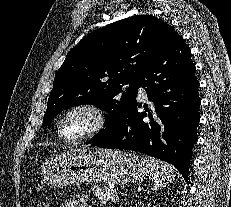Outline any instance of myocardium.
<instances>
[{
  "instance_id": "1",
  "label": "myocardium",
  "mask_w": 231,
  "mask_h": 207,
  "mask_svg": "<svg viewBox=\"0 0 231 207\" xmlns=\"http://www.w3.org/2000/svg\"><path fill=\"white\" fill-rule=\"evenodd\" d=\"M76 111H85L92 117V126L91 128L83 135L78 137H69L65 133V121L67 117L76 112ZM107 125V117L105 112L96 104L90 103V102H80L73 104L72 106L68 107L61 115L59 120V135L62 139H64L67 142L71 143H79L83 141H87L95 136H97L99 133H101Z\"/></svg>"
}]
</instances>
